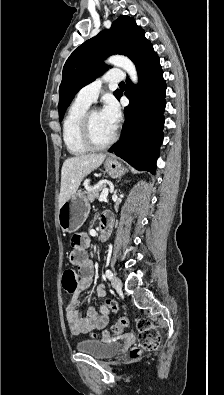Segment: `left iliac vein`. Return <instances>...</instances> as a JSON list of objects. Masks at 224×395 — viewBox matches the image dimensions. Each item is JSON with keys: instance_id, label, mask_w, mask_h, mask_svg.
Segmentation results:
<instances>
[{"instance_id": "left-iliac-vein-1", "label": "left iliac vein", "mask_w": 224, "mask_h": 395, "mask_svg": "<svg viewBox=\"0 0 224 395\" xmlns=\"http://www.w3.org/2000/svg\"><path fill=\"white\" fill-rule=\"evenodd\" d=\"M111 285L116 290H121V288H122V281L118 277H113L112 280H111Z\"/></svg>"}]
</instances>
